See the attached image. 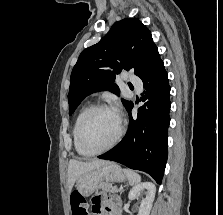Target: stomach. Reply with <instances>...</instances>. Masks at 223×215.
<instances>
[{
  "mask_svg": "<svg viewBox=\"0 0 223 215\" xmlns=\"http://www.w3.org/2000/svg\"><path fill=\"white\" fill-rule=\"evenodd\" d=\"M126 173L121 169L115 161H104L99 167H95L92 171H86L78 177L76 181V189L80 195H90L95 191V183L101 179H110V181H126Z\"/></svg>",
  "mask_w": 223,
  "mask_h": 215,
  "instance_id": "1",
  "label": "stomach"
}]
</instances>
